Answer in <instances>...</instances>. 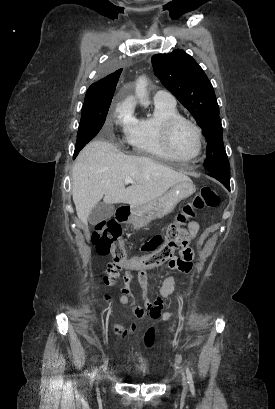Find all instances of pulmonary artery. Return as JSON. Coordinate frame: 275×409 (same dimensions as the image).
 Masks as SVG:
<instances>
[{"label":"pulmonary artery","instance_id":"pulmonary-artery-1","mask_svg":"<svg viewBox=\"0 0 275 409\" xmlns=\"http://www.w3.org/2000/svg\"><path fill=\"white\" fill-rule=\"evenodd\" d=\"M158 91L154 95V103L156 105H164V106H169V107H175L176 106V100L174 96L168 92H164L165 88L163 86H160L158 88Z\"/></svg>","mask_w":275,"mask_h":409}]
</instances>
